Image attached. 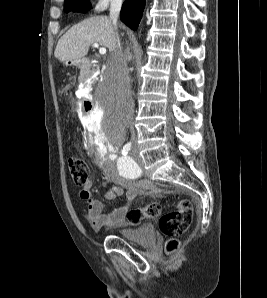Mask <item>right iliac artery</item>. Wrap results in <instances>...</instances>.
I'll return each mask as SVG.
<instances>
[{
  "instance_id": "obj_1",
  "label": "right iliac artery",
  "mask_w": 267,
  "mask_h": 298,
  "mask_svg": "<svg viewBox=\"0 0 267 298\" xmlns=\"http://www.w3.org/2000/svg\"><path fill=\"white\" fill-rule=\"evenodd\" d=\"M131 149V142H128L124 145L123 149H122V155L124 157L121 158V160H126V159H130L129 156H127L128 152L130 151Z\"/></svg>"
}]
</instances>
